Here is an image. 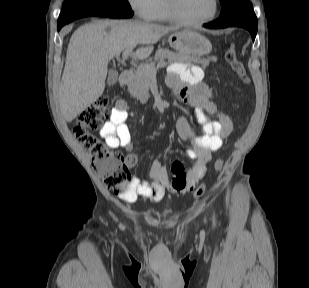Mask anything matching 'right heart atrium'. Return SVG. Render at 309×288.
Returning a JSON list of instances; mask_svg holds the SVG:
<instances>
[{
    "instance_id": "obj_1",
    "label": "right heart atrium",
    "mask_w": 309,
    "mask_h": 288,
    "mask_svg": "<svg viewBox=\"0 0 309 288\" xmlns=\"http://www.w3.org/2000/svg\"><path fill=\"white\" fill-rule=\"evenodd\" d=\"M133 12L143 19H151L158 0H127Z\"/></svg>"
}]
</instances>
